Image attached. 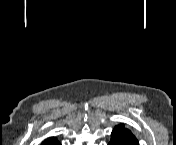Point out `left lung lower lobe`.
Segmentation results:
<instances>
[{
  "instance_id": "obj_1",
  "label": "left lung lower lobe",
  "mask_w": 176,
  "mask_h": 145,
  "mask_svg": "<svg viewBox=\"0 0 176 145\" xmlns=\"http://www.w3.org/2000/svg\"><path fill=\"white\" fill-rule=\"evenodd\" d=\"M108 145H132L120 134L112 132L111 140Z\"/></svg>"
}]
</instances>
